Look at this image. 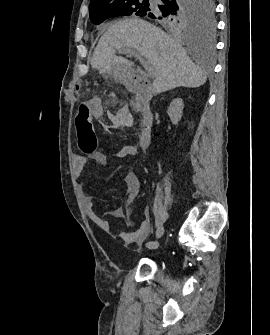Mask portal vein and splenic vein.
Returning <instances> with one entry per match:
<instances>
[{"instance_id": "1", "label": "portal vein and splenic vein", "mask_w": 270, "mask_h": 335, "mask_svg": "<svg viewBox=\"0 0 270 335\" xmlns=\"http://www.w3.org/2000/svg\"><path fill=\"white\" fill-rule=\"evenodd\" d=\"M118 52L119 54H132V56H136L137 58H139V61H142V59L144 58V55L140 51L135 52V50H129L127 47H124L122 50H118ZM122 64H128L127 60H123ZM141 65L143 66V69L145 71H149L148 79L150 81H153L155 79L154 76L155 72L152 70L153 69L152 62L147 58H144L143 61L141 62Z\"/></svg>"}]
</instances>
